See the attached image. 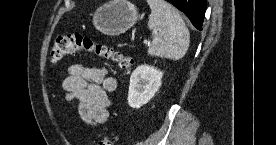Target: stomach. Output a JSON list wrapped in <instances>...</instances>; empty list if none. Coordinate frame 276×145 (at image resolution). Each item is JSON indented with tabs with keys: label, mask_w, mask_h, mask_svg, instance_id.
Returning a JSON list of instances; mask_svg holds the SVG:
<instances>
[{
	"label": "stomach",
	"mask_w": 276,
	"mask_h": 145,
	"mask_svg": "<svg viewBox=\"0 0 276 145\" xmlns=\"http://www.w3.org/2000/svg\"><path fill=\"white\" fill-rule=\"evenodd\" d=\"M138 9L127 0H111L99 7L93 15V24L106 35H119L138 20Z\"/></svg>",
	"instance_id": "obj_1"
}]
</instances>
